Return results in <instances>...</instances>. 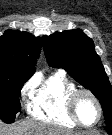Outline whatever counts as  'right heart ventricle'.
I'll return each mask as SVG.
<instances>
[{
    "instance_id": "e07e8e85",
    "label": "right heart ventricle",
    "mask_w": 112,
    "mask_h": 135,
    "mask_svg": "<svg viewBox=\"0 0 112 135\" xmlns=\"http://www.w3.org/2000/svg\"><path fill=\"white\" fill-rule=\"evenodd\" d=\"M74 89L64 74H52L35 87L27 103V111L39 120L67 128L77 127L67 107V97Z\"/></svg>"
}]
</instances>
